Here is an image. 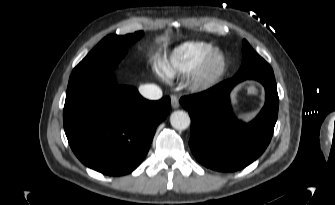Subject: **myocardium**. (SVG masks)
<instances>
[{"label": "myocardium", "mask_w": 335, "mask_h": 205, "mask_svg": "<svg viewBox=\"0 0 335 205\" xmlns=\"http://www.w3.org/2000/svg\"><path fill=\"white\" fill-rule=\"evenodd\" d=\"M227 68V58L223 51L214 49L191 73L190 84L196 91H206L214 87Z\"/></svg>", "instance_id": "myocardium-1"}]
</instances>
